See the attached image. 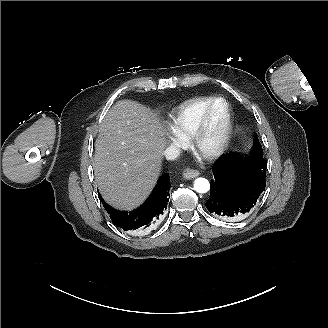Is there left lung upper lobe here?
Listing matches in <instances>:
<instances>
[{
    "label": "left lung upper lobe",
    "instance_id": "left-lung-upper-lobe-1",
    "mask_svg": "<svg viewBox=\"0 0 328 328\" xmlns=\"http://www.w3.org/2000/svg\"><path fill=\"white\" fill-rule=\"evenodd\" d=\"M256 142H258V139H257V137H255V139H254V143H256Z\"/></svg>",
    "mask_w": 328,
    "mask_h": 328
}]
</instances>
